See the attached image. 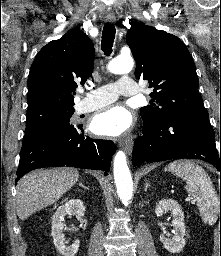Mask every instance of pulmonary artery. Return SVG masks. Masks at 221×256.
Segmentation results:
<instances>
[{
  "mask_svg": "<svg viewBox=\"0 0 221 256\" xmlns=\"http://www.w3.org/2000/svg\"><path fill=\"white\" fill-rule=\"evenodd\" d=\"M138 93L136 83L129 77H122L115 83L103 85L88 92L77 104L76 113H87L114 102L120 95L133 96Z\"/></svg>",
  "mask_w": 221,
  "mask_h": 256,
  "instance_id": "1",
  "label": "pulmonary artery"
}]
</instances>
